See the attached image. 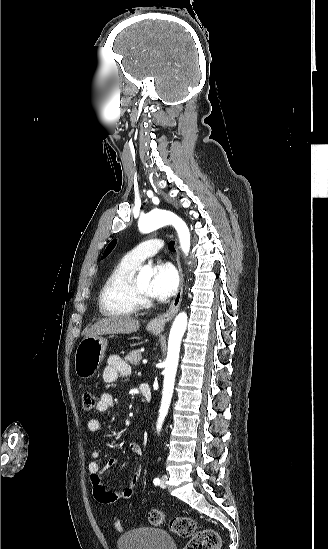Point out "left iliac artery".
Wrapping results in <instances>:
<instances>
[{
  "label": "left iliac artery",
  "instance_id": "1",
  "mask_svg": "<svg viewBox=\"0 0 328 549\" xmlns=\"http://www.w3.org/2000/svg\"><path fill=\"white\" fill-rule=\"evenodd\" d=\"M153 483H154L155 485H159V484H160V479H159V478H155V479L153 480Z\"/></svg>",
  "mask_w": 328,
  "mask_h": 549
}]
</instances>
